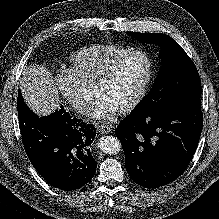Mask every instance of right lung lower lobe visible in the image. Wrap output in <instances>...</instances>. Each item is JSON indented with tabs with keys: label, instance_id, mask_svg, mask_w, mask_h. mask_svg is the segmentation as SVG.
Instances as JSON below:
<instances>
[{
	"label": "right lung lower lobe",
	"instance_id": "1",
	"mask_svg": "<svg viewBox=\"0 0 219 219\" xmlns=\"http://www.w3.org/2000/svg\"><path fill=\"white\" fill-rule=\"evenodd\" d=\"M17 109L26 153L51 186L72 191L93 178L97 162L89 149L96 136L92 124L70 116L63 106L39 117L25 104L20 91Z\"/></svg>",
	"mask_w": 219,
	"mask_h": 219
}]
</instances>
